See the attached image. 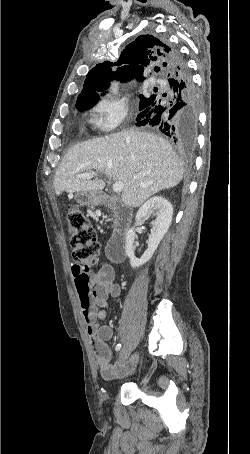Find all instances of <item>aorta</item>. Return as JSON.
<instances>
[{"label": "aorta", "instance_id": "762f6f07", "mask_svg": "<svg viewBox=\"0 0 250 454\" xmlns=\"http://www.w3.org/2000/svg\"><path fill=\"white\" fill-rule=\"evenodd\" d=\"M110 90H111L112 95H117L118 94V85L112 84Z\"/></svg>", "mask_w": 250, "mask_h": 454}]
</instances>
